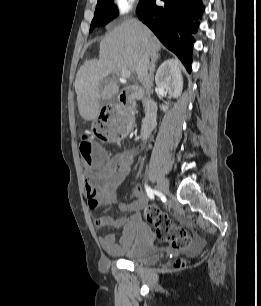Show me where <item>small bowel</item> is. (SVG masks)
Returning <instances> with one entry per match:
<instances>
[{
  "instance_id": "obj_1",
  "label": "small bowel",
  "mask_w": 261,
  "mask_h": 306,
  "mask_svg": "<svg viewBox=\"0 0 261 306\" xmlns=\"http://www.w3.org/2000/svg\"><path fill=\"white\" fill-rule=\"evenodd\" d=\"M97 159L102 153L99 167L85 176V191L88 206L96 209L107 205H117L121 211H129V217L103 216L96 219L99 228H121V236L117 240L115 234L106 233L99 237L100 247L109 255L122 256L133 252L139 243L145 240L147 228L142 222L141 211L148 204V198L140 187H135V198L129 203L118 202V192L129 175L135 154L131 150H123L107 157L96 146ZM141 232V234L138 233Z\"/></svg>"
}]
</instances>
